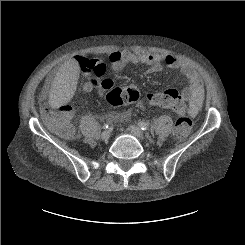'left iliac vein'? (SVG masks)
I'll return each instance as SVG.
<instances>
[{"label":"left iliac vein","mask_w":245,"mask_h":245,"mask_svg":"<svg viewBox=\"0 0 245 245\" xmlns=\"http://www.w3.org/2000/svg\"><path fill=\"white\" fill-rule=\"evenodd\" d=\"M129 130H130L131 134L133 136H135L136 138L144 139V133L142 132V130L139 127L131 125L129 127Z\"/></svg>","instance_id":"4c4485c4"}]
</instances>
